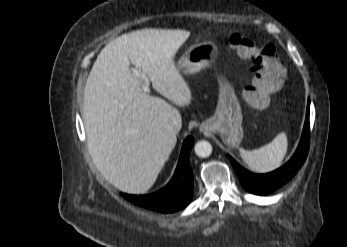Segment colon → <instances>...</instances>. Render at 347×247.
Here are the masks:
<instances>
[{
	"label": "colon",
	"instance_id": "colon-1",
	"mask_svg": "<svg viewBox=\"0 0 347 247\" xmlns=\"http://www.w3.org/2000/svg\"><path fill=\"white\" fill-rule=\"evenodd\" d=\"M237 54L250 61L253 84L244 92L245 101L255 108H262L267 97L277 92L284 82V70L273 45H259L253 38L233 33L228 39Z\"/></svg>",
	"mask_w": 347,
	"mask_h": 247
}]
</instances>
